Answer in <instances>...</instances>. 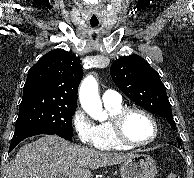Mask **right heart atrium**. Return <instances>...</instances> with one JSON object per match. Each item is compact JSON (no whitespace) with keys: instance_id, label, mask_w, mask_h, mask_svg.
Returning <instances> with one entry per match:
<instances>
[{"instance_id":"obj_1","label":"right heart atrium","mask_w":194,"mask_h":178,"mask_svg":"<svg viewBox=\"0 0 194 178\" xmlns=\"http://www.w3.org/2000/svg\"><path fill=\"white\" fill-rule=\"evenodd\" d=\"M71 125L77 139L82 145L95 146V125L82 108L78 107L73 112L71 117Z\"/></svg>"}]
</instances>
